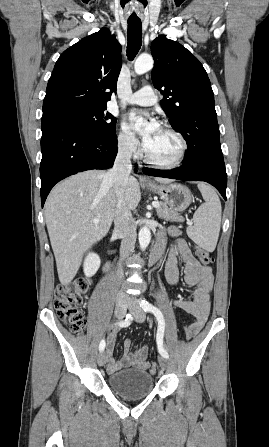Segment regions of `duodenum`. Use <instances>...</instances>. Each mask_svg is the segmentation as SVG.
Masks as SVG:
<instances>
[{"mask_svg": "<svg viewBox=\"0 0 269 447\" xmlns=\"http://www.w3.org/2000/svg\"><path fill=\"white\" fill-rule=\"evenodd\" d=\"M161 252L159 250H154L150 256L149 264L153 265L159 258H160ZM109 264L107 263L105 266V269H107Z\"/></svg>", "mask_w": 269, "mask_h": 447, "instance_id": "410a0bca", "label": "duodenum"}]
</instances>
